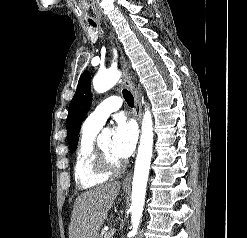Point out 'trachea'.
I'll list each match as a JSON object with an SVG mask.
<instances>
[{"instance_id": "1", "label": "trachea", "mask_w": 247, "mask_h": 238, "mask_svg": "<svg viewBox=\"0 0 247 238\" xmlns=\"http://www.w3.org/2000/svg\"><path fill=\"white\" fill-rule=\"evenodd\" d=\"M93 27L96 26V24L94 22H89ZM123 93V96H124V99L125 101L127 102V104L132 107L134 105V97L133 95L126 89H123L122 91Z\"/></svg>"}]
</instances>
